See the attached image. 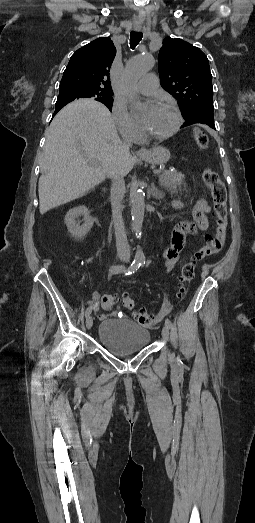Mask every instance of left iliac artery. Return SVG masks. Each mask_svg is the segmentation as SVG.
I'll list each match as a JSON object with an SVG mask.
<instances>
[{
  "mask_svg": "<svg viewBox=\"0 0 255 523\" xmlns=\"http://www.w3.org/2000/svg\"><path fill=\"white\" fill-rule=\"evenodd\" d=\"M140 263H141V265H143V264H145V261L142 260ZM165 325L168 326L170 329H173V324L168 318L165 319Z\"/></svg>",
  "mask_w": 255,
  "mask_h": 523,
  "instance_id": "1",
  "label": "left iliac artery"
}]
</instances>
